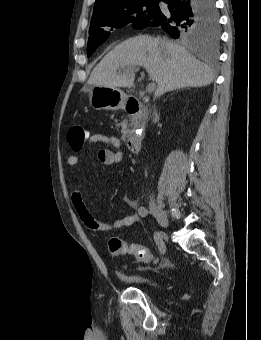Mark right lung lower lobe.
<instances>
[{"instance_id": "1", "label": "right lung lower lobe", "mask_w": 261, "mask_h": 340, "mask_svg": "<svg viewBox=\"0 0 261 340\" xmlns=\"http://www.w3.org/2000/svg\"><path fill=\"white\" fill-rule=\"evenodd\" d=\"M167 8H161L148 27L159 26L177 38V27L180 22L192 14L207 16L217 14L215 0H162Z\"/></svg>"}]
</instances>
